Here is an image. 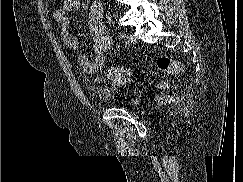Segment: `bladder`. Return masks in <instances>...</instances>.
Returning a JSON list of instances; mask_svg holds the SVG:
<instances>
[{
	"label": "bladder",
	"mask_w": 243,
	"mask_h": 182,
	"mask_svg": "<svg viewBox=\"0 0 243 182\" xmlns=\"http://www.w3.org/2000/svg\"><path fill=\"white\" fill-rule=\"evenodd\" d=\"M139 105H140V101L136 98H132L126 103V108L135 110L139 107Z\"/></svg>",
	"instance_id": "31cf9c89"
}]
</instances>
